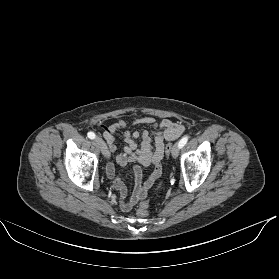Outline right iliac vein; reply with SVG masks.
Returning a JSON list of instances; mask_svg holds the SVG:
<instances>
[{
  "label": "right iliac vein",
  "mask_w": 279,
  "mask_h": 279,
  "mask_svg": "<svg viewBox=\"0 0 279 279\" xmlns=\"http://www.w3.org/2000/svg\"><path fill=\"white\" fill-rule=\"evenodd\" d=\"M96 142H97L98 146L100 147L101 152L104 155V157L109 158L110 157V152H109L108 147H107L106 143L104 142V140L97 137Z\"/></svg>",
  "instance_id": "obj_1"
}]
</instances>
